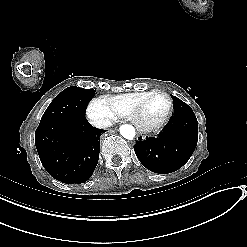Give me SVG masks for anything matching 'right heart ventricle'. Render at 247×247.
Returning <instances> with one entry per match:
<instances>
[{"mask_svg": "<svg viewBox=\"0 0 247 247\" xmlns=\"http://www.w3.org/2000/svg\"><path fill=\"white\" fill-rule=\"evenodd\" d=\"M149 92L150 90L118 96L105 95L101 99L111 106L115 117L130 118L131 109L135 108L136 103L143 100Z\"/></svg>", "mask_w": 247, "mask_h": 247, "instance_id": "right-heart-ventricle-1", "label": "right heart ventricle"}]
</instances>
